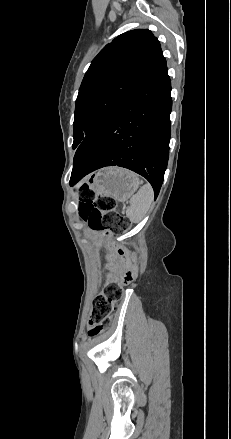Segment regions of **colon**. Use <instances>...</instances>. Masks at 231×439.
Here are the masks:
<instances>
[{
  "label": "colon",
  "mask_w": 231,
  "mask_h": 439,
  "mask_svg": "<svg viewBox=\"0 0 231 439\" xmlns=\"http://www.w3.org/2000/svg\"><path fill=\"white\" fill-rule=\"evenodd\" d=\"M79 214L92 231L100 233L117 232L128 229L130 221L116 209V200L109 196H100L94 188L83 184L77 189ZM122 255V254H120ZM135 272L125 271L121 280L114 278L103 287L101 294L93 300L89 331L91 335L103 332L111 320L114 304L121 298L123 285L133 281Z\"/></svg>",
  "instance_id": "colon-1"
}]
</instances>
